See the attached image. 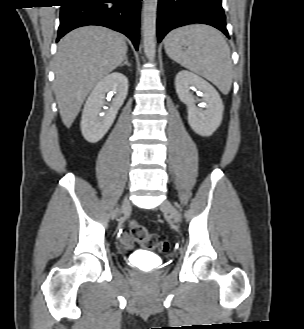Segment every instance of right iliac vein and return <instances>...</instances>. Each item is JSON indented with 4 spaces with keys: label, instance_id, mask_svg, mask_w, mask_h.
I'll list each match as a JSON object with an SVG mask.
<instances>
[{
    "label": "right iliac vein",
    "instance_id": "obj_1",
    "mask_svg": "<svg viewBox=\"0 0 304 329\" xmlns=\"http://www.w3.org/2000/svg\"><path fill=\"white\" fill-rule=\"evenodd\" d=\"M130 201L127 197L124 198L122 208H121V213H126L127 211L130 210Z\"/></svg>",
    "mask_w": 304,
    "mask_h": 329
}]
</instances>
